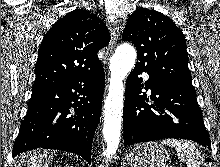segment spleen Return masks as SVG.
Wrapping results in <instances>:
<instances>
[{"label":"spleen","instance_id":"3e777b00","mask_svg":"<svg viewBox=\"0 0 220 167\" xmlns=\"http://www.w3.org/2000/svg\"><path fill=\"white\" fill-rule=\"evenodd\" d=\"M162 144L174 147L180 160L186 162L187 167H200L203 164V157L194 144L187 140L165 139Z\"/></svg>","mask_w":220,"mask_h":167}]
</instances>
